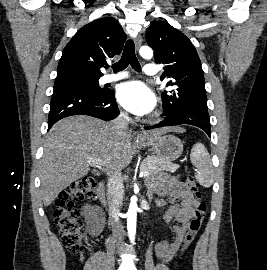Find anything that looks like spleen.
<instances>
[{"instance_id":"spleen-1","label":"spleen","mask_w":267,"mask_h":270,"mask_svg":"<svg viewBox=\"0 0 267 270\" xmlns=\"http://www.w3.org/2000/svg\"><path fill=\"white\" fill-rule=\"evenodd\" d=\"M190 160L196 167L195 178L205 188L213 183V166L210 155L202 143H196L192 148Z\"/></svg>"}]
</instances>
